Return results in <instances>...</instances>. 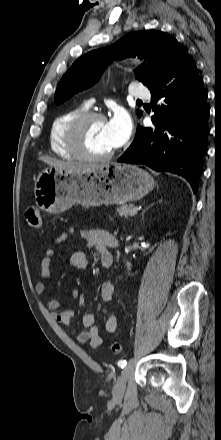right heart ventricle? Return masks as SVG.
<instances>
[{
	"mask_svg": "<svg viewBox=\"0 0 221 440\" xmlns=\"http://www.w3.org/2000/svg\"><path fill=\"white\" fill-rule=\"evenodd\" d=\"M87 110L88 104L84 103L66 110L54 118L49 132V144L54 154L64 159L76 158L67 147L66 129L76 116Z\"/></svg>",
	"mask_w": 221,
	"mask_h": 440,
	"instance_id": "e07e8e85",
	"label": "right heart ventricle"
}]
</instances>
